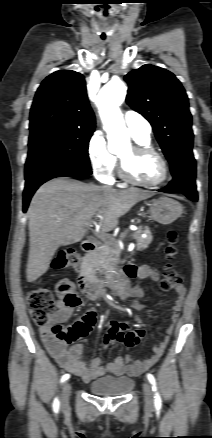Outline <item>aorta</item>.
<instances>
[{"label": "aorta", "mask_w": 212, "mask_h": 438, "mask_svg": "<svg viewBox=\"0 0 212 438\" xmlns=\"http://www.w3.org/2000/svg\"><path fill=\"white\" fill-rule=\"evenodd\" d=\"M126 92L125 83L120 79H113L101 88L97 96V106L107 132L110 151L115 150L116 143L129 141L128 131L119 109L126 97Z\"/></svg>", "instance_id": "762f6f07"}]
</instances>
